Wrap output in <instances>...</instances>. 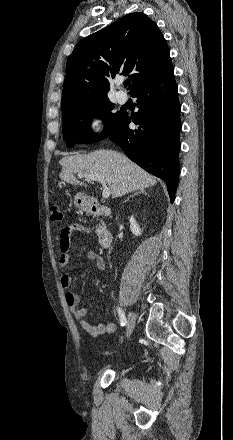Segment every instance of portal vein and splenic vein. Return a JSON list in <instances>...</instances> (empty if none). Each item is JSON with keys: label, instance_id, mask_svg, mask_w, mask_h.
<instances>
[{"label": "portal vein and splenic vein", "instance_id": "1", "mask_svg": "<svg viewBox=\"0 0 233 440\" xmlns=\"http://www.w3.org/2000/svg\"><path fill=\"white\" fill-rule=\"evenodd\" d=\"M78 177H80V178L85 177L88 180L100 182L103 186V191H102L103 198L107 199L110 196L111 190H110V188L107 187V182L103 176L94 175V174H78Z\"/></svg>", "mask_w": 233, "mask_h": 440}]
</instances>
